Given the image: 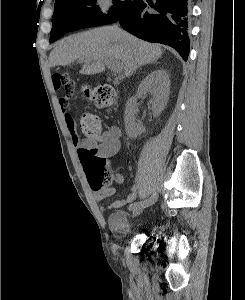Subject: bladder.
<instances>
[{
    "label": "bladder",
    "instance_id": "31cf9c89",
    "mask_svg": "<svg viewBox=\"0 0 245 300\" xmlns=\"http://www.w3.org/2000/svg\"><path fill=\"white\" fill-rule=\"evenodd\" d=\"M108 225L117 241H124L136 234L137 228L130 221L126 209H117L110 213Z\"/></svg>",
    "mask_w": 245,
    "mask_h": 300
}]
</instances>
